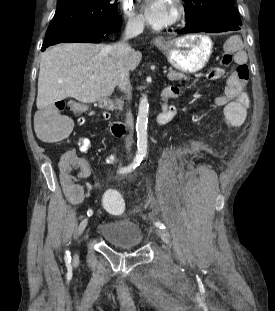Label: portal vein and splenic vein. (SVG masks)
Here are the masks:
<instances>
[{
	"label": "portal vein and splenic vein",
	"mask_w": 275,
	"mask_h": 311,
	"mask_svg": "<svg viewBox=\"0 0 275 311\" xmlns=\"http://www.w3.org/2000/svg\"><path fill=\"white\" fill-rule=\"evenodd\" d=\"M163 73L166 74V73H167V70H164Z\"/></svg>",
	"instance_id": "obj_1"
}]
</instances>
